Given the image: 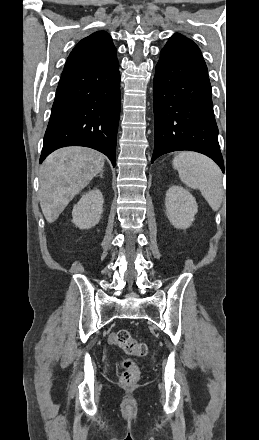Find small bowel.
<instances>
[{"label": "small bowel", "instance_id": "c3829d8e", "mask_svg": "<svg viewBox=\"0 0 259 440\" xmlns=\"http://www.w3.org/2000/svg\"><path fill=\"white\" fill-rule=\"evenodd\" d=\"M108 343L111 345H115L116 344V339H115V335L114 334H110L108 337Z\"/></svg>", "mask_w": 259, "mask_h": 440}]
</instances>
